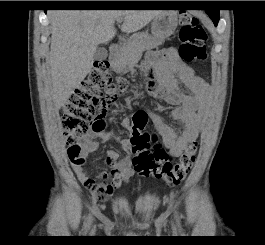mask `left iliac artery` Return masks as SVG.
<instances>
[{"label": "left iliac artery", "mask_w": 265, "mask_h": 245, "mask_svg": "<svg viewBox=\"0 0 265 245\" xmlns=\"http://www.w3.org/2000/svg\"><path fill=\"white\" fill-rule=\"evenodd\" d=\"M175 218H176L177 223L180 224V223H179V222H180V217H179L177 211H175Z\"/></svg>", "instance_id": "left-iliac-artery-1"}]
</instances>
